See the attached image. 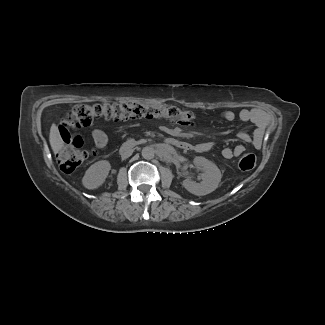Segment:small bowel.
Returning a JSON list of instances; mask_svg holds the SVG:
<instances>
[{"mask_svg":"<svg viewBox=\"0 0 325 325\" xmlns=\"http://www.w3.org/2000/svg\"><path fill=\"white\" fill-rule=\"evenodd\" d=\"M220 117L225 122H233L239 118L243 122H252L256 125L257 131H262L263 127L267 122V115L259 109H243L238 114L233 111L225 110L220 114ZM57 131L59 137L68 145L75 148H81L84 145V137L81 134L74 135L70 133L68 124L65 121H60L57 124ZM93 141L95 146L103 150L107 147L108 137L106 133L101 129H95L92 133ZM243 141H249L250 136L246 132H241L239 135ZM213 147L211 142H202L194 145V149L197 152H206ZM245 150V146L238 144L231 148H225L222 151V155L226 159H232L238 157Z\"/></svg>","mask_w":325,"mask_h":325,"instance_id":"c3829d8e","label":"small bowel"}]
</instances>
